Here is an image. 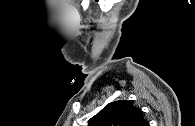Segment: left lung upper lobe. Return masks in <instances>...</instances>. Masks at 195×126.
<instances>
[{"mask_svg":"<svg viewBox=\"0 0 195 126\" xmlns=\"http://www.w3.org/2000/svg\"><path fill=\"white\" fill-rule=\"evenodd\" d=\"M88 126H148L143 112L130 101L109 103L88 121Z\"/></svg>","mask_w":195,"mask_h":126,"instance_id":"5c2ea615","label":"left lung upper lobe"}]
</instances>
